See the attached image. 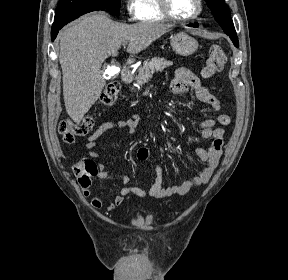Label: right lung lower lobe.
Wrapping results in <instances>:
<instances>
[{
	"instance_id": "1",
	"label": "right lung lower lobe",
	"mask_w": 288,
	"mask_h": 280,
	"mask_svg": "<svg viewBox=\"0 0 288 280\" xmlns=\"http://www.w3.org/2000/svg\"><path fill=\"white\" fill-rule=\"evenodd\" d=\"M96 10H104V8L99 7V6H85L81 8H76V9H71L58 17H55L54 23L52 25V30H51V38L52 41L56 38L58 31L68 22L78 18L79 16L86 14L91 11H96Z\"/></svg>"
}]
</instances>
